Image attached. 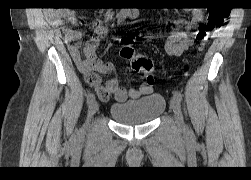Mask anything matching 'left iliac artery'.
Masks as SVG:
<instances>
[{"instance_id":"left-iliac-artery-1","label":"left iliac artery","mask_w":251,"mask_h":180,"mask_svg":"<svg viewBox=\"0 0 251 180\" xmlns=\"http://www.w3.org/2000/svg\"><path fill=\"white\" fill-rule=\"evenodd\" d=\"M173 96H174V98L180 103L181 101H182V94H181V92H179V91H174L173 92Z\"/></svg>"}]
</instances>
